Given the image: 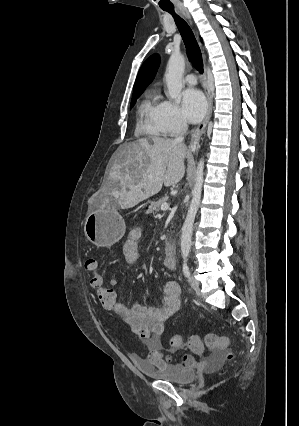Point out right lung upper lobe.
<instances>
[{
  "label": "right lung upper lobe",
  "mask_w": 299,
  "mask_h": 426,
  "mask_svg": "<svg viewBox=\"0 0 299 426\" xmlns=\"http://www.w3.org/2000/svg\"><path fill=\"white\" fill-rule=\"evenodd\" d=\"M160 64L158 54L151 55L142 65L137 75L133 92L143 91L154 79Z\"/></svg>",
  "instance_id": "obj_1"
}]
</instances>
